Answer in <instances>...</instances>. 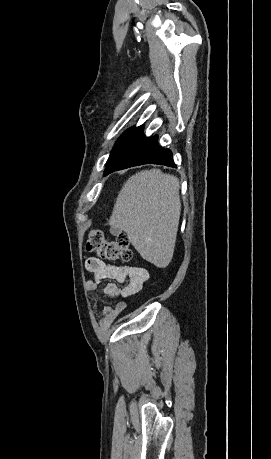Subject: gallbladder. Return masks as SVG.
Masks as SVG:
<instances>
[{
    "instance_id": "bac80fb5",
    "label": "gallbladder",
    "mask_w": 271,
    "mask_h": 459,
    "mask_svg": "<svg viewBox=\"0 0 271 459\" xmlns=\"http://www.w3.org/2000/svg\"><path fill=\"white\" fill-rule=\"evenodd\" d=\"M110 233H112V235H119V233H122V229L121 228H114V226H111Z\"/></svg>"
}]
</instances>
